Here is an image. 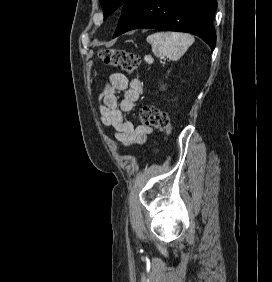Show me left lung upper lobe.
I'll list each match as a JSON object with an SVG mask.
<instances>
[{
  "label": "left lung upper lobe",
  "instance_id": "5c2ea615",
  "mask_svg": "<svg viewBox=\"0 0 272 282\" xmlns=\"http://www.w3.org/2000/svg\"><path fill=\"white\" fill-rule=\"evenodd\" d=\"M126 1L127 0H100L104 12V20L116 9L122 7Z\"/></svg>",
  "mask_w": 272,
  "mask_h": 282
}]
</instances>
